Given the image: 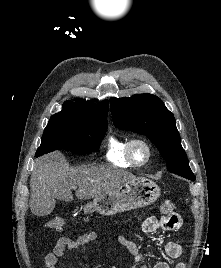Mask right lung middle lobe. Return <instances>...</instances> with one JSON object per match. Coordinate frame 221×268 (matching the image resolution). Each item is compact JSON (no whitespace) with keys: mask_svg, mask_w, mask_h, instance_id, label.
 <instances>
[{"mask_svg":"<svg viewBox=\"0 0 221 268\" xmlns=\"http://www.w3.org/2000/svg\"><path fill=\"white\" fill-rule=\"evenodd\" d=\"M107 130L106 124H97L69 115H53L42 135L36 157L45 153L66 149L74 153L96 152Z\"/></svg>","mask_w":221,"mask_h":268,"instance_id":"dd1d6c3e","label":"right lung middle lobe"}]
</instances>
